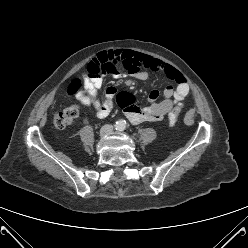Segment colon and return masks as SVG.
<instances>
[{
	"label": "colon",
	"mask_w": 248,
	"mask_h": 248,
	"mask_svg": "<svg viewBox=\"0 0 248 248\" xmlns=\"http://www.w3.org/2000/svg\"><path fill=\"white\" fill-rule=\"evenodd\" d=\"M113 67L114 64L109 60L99 62L96 64V66H92V64H90L87 67L86 75L88 77L100 76ZM67 92L69 95H76L81 98H85L89 95V91L85 86V82L81 78H75L72 80L68 86ZM116 102L120 108L126 109V107H128L133 102V99L128 93H120L116 97ZM184 107L185 102H181L169 112L168 123L170 126H174L177 123L178 117L183 111ZM78 113L79 106L77 105L65 109H57L53 114L54 125L57 128H65L77 117Z\"/></svg>",
	"instance_id": "1"
}]
</instances>
